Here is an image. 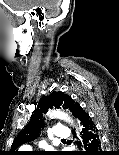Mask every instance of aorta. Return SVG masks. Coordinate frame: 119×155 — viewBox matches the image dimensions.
Instances as JSON below:
<instances>
[{"instance_id": "762f6f07", "label": "aorta", "mask_w": 119, "mask_h": 155, "mask_svg": "<svg viewBox=\"0 0 119 155\" xmlns=\"http://www.w3.org/2000/svg\"><path fill=\"white\" fill-rule=\"evenodd\" d=\"M48 115L50 118H58V119L65 120L66 122L73 124V121L71 120V118L66 113L58 109L49 111Z\"/></svg>"}]
</instances>
